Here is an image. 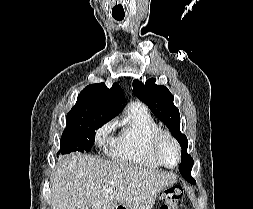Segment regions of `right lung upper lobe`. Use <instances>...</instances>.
<instances>
[{
	"instance_id": "right-lung-upper-lobe-1",
	"label": "right lung upper lobe",
	"mask_w": 253,
	"mask_h": 209,
	"mask_svg": "<svg viewBox=\"0 0 253 209\" xmlns=\"http://www.w3.org/2000/svg\"><path fill=\"white\" fill-rule=\"evenodd\" d=\"M123 91L118 83L108 89L104 83L86 86L78 95L76 105L68 112L66 121L87 115H101L114 118L123 102Z\"/></svg>"
}]
</instances>
